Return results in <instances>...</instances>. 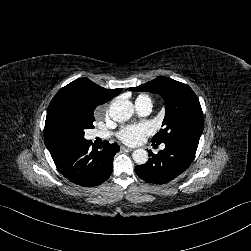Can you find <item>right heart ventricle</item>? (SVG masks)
<instances>
[{
	"label": "right heart ventricle",
	"instance_id": "1",
	"mask_svg": "<svg viewBox=\"0 0 251 251\" xmlns=\"http://www.w3.org/2000/svg\"><path fill=\"white\" fill-rule=\"evenodd\" d=\"M145 99L151 100V98L147 95H140L137 97L136 101H141V100H145Z\"/></svg>",
	"mask_w": 251,
	"mask_h": 251
}]
</instances>
